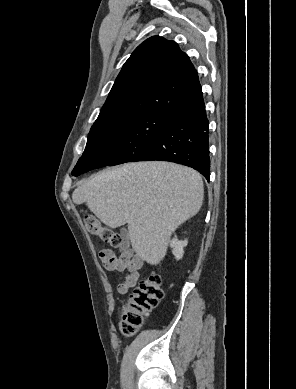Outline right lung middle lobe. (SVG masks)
Segmentation results:
<instances>
[{
	"mask_svg": "<svg viewBox=\"0 0 296 389\" xmlns=\"http://www.w3.org/2000/svg\"><path fill=\"white\" fill-rule=\"evenodd\" d=\"M174 119L158 113L98 118L75 168L88 165L95 169L139 161Z\"/></svg>",
	"mask_w": 296,
	"mask_h": 389,
	"instance_id": "dd1d6c3e",
	"label": "right lung middle lobe"
}]
</instances>
